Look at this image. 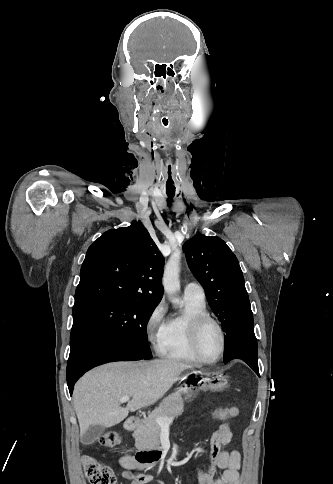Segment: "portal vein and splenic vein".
<instances>
[{
  "label": "portal vein and splenic vein",
  "mask_w": 333,
  "mask_h": 484,
  "mask_svg": "<svg viewBox=\"0 0 333 484\" xmlns=\"http://www.w3.org/2000/svg\"><path fill=\"white\" fill-rule=\"evenodd\" d=\"M130 397L129 396H124L119 399L120 403H125L129 401ZM174 418H168V417H157L156 418V423L160 426H168L173 422Z\"/></svg>",
  "instance_id": "obj_1"
}]
</instances>
